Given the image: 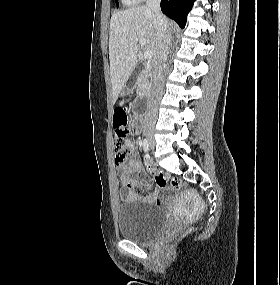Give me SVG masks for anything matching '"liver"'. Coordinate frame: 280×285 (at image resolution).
<instances>
[{
  "label": "liver",
  "instance_id": "obj_1",
  "mask_svg": "<svg viewBox=\"0 0 280 285\" xmlns=\"http://www.w3.org/2000/svg\"><path fill=\"white\" fill-rule=\"evenodd\" d=\"M167 20V19H166ZM168 27L171 23L167 20ZM138 39H145L146 51L155 52L156 28L152 11L145 5L114 13L110 20L109 60L113 103L134 71L140 50Z\"/></svg>",
  "mask_w": 280,
  "mask_h": 285
}]
</instances>
